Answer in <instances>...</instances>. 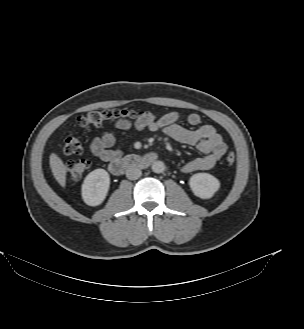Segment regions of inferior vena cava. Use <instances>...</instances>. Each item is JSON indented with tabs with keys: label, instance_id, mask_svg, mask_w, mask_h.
Masks as SVG:
<instances>
[{
	"label": "inferior vena cava",
	"instance_id": "obj_1",
	"mask_svg": "<svg viewBox=\"0 0 304 329\" xmlns=\"http://www.w3.org/2000/svg\"><path fill=\"white\" fill-rule=\"evenodd\" d=\"M141 174H142L141 170L136 166H130L126 170V177L129 180H136L141 176Z\"/></svg>",
	"mask_w": 304,
	"mask_h": 329
}]
</instances>
